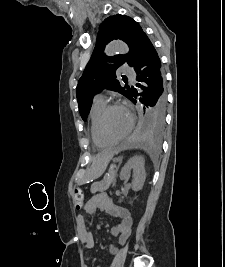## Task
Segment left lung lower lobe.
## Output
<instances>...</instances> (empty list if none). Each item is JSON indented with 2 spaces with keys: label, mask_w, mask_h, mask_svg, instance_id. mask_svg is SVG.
Wrapping results in <instances>:
<instances>
[{
  "label": "left lung lower lobe",
  "mask_w": 225,
  "mask_h": 267,
  "mask_svg": "<svg viewBox=\"0 0 225 267\" xmlns=\"http://www.w3.org/2000/svg\"><path fill=\"white\" fill-rule=\"evenodd\" d=\"M137 73L136 84L142 92L138 93L136 89H131L129 100L133 103L141 102L150 109L156 111L157 114L165 113L166 108V93L165 80L162 71L159 56L145 35L140 46V50L133 66Z\"/></svg>",
  "instance_id": "1"
}]
</instances>
